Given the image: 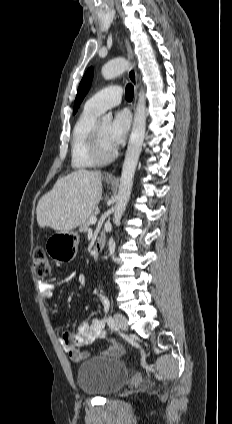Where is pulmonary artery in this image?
<instances>
[{"mask_svg":"<svg viewBox=\"0 0 232 424\" xmlns=\"http://www.w3.org/2000/svg\"><path fill=\"white\" fill-rule=\"evenodd\" d=\"M122 94V88L119 86L106 87L92 96L86 102L85 107L92 111L102 113L119 105L122 99Z\"/></svg>","mask_w":232,"mask_h":424,"instance_id":"1","label":"pulmonary artery"}]
</instances>
